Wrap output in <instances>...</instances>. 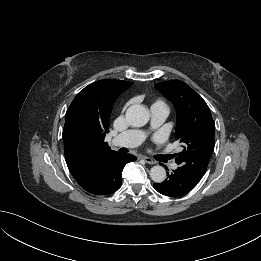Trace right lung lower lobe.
I'll return each mask as SVG.
<instances>
[{
  "label": "right lung lower lobe",
  "mask_w": 261,
  "mask_h": 261,
  "mask_svg": "<svg viewBox=\"0 0 261 261\" xmlns=\"http://www.w3.org/2000/svg\"><path fill=\"white\" fill-rule=\"evenodd\" d=\"M136 157L131 154L111 152L98 160L83 176L75 179L87 192L107 195L117 191L122 184L121 172L124 166Z\"/></svg>",
  "instance_id": "1"
}]
</instances>
